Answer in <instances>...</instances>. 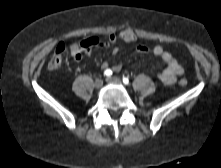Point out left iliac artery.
I'll return each mask as SVG.
<instances>
[{
	"label": "left iliac artery",
	"mask_w": 221,
	"mask_h": 168,
	"mask_svg": "<svg viewBox=\"0 0 221 168\" xmlns=\"http://www.w3.org/2000/svg\"><path fill=\"white\" fill-rule=\"evenodd\" d=\"M123 83L124 84H129V79L127 77H123Z\"/></svg>",
	"instance_id": "44dca946"
}]
</instances>
